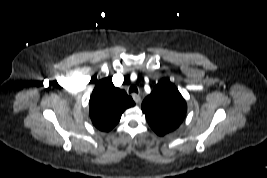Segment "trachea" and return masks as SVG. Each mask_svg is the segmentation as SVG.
<instances>
[{
  "label": "trachea",
  "mask_w": 267,
  "mask_h": 178,
  "mask_svg": "<svg viewBox=\"0 0 267 178\" xmlns=\"http://www.w3.org/2000/svg\"><path fill=\"white\" fill-rule=\"evenodd\" d=\"M129 93H138V89L135 85H132L130 88H129Z\"/></svg>",
  "instance_id": "obj_1"
}]
</instances>
